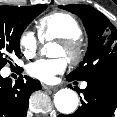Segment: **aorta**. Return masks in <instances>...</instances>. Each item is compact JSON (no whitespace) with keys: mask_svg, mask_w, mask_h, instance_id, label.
I'll use <instances>...</instances> for the list:
<instances>
[{"mask_svg":"<svg viewBox=\"0 0 117 117\" xmlns=\"http://www.w3.org/2000/svg\"><path fill=\"white\" fill-rule=\"evenodd\" d=\"M42 54H48L47 47L41 49ZM79 98L75 91L64 88L59 90L54 96L56 109L62 114H71L78 106Z\"/></svg>","mask_w":117,"mask_h":117,"instance_id":"obj_1","label":"aorta"}]
</instances>
